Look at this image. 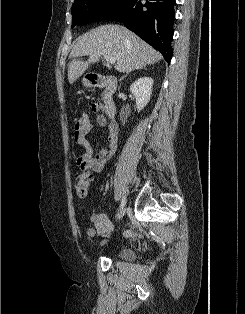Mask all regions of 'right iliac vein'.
Here are the masks:
<instances>
[{"label":"right iliac vein","instance_id":"63e3f726","mask_svg":"<svg viewBox=\"0 0 245 314\" xmlns=\"http://www.w3.org/2000/svg\"><path fill=\"white\" fill-rule=\"evenodd\" d=\"M125 212V207H123V209H121L118 213V219L120 220L122 218V216L124 215Z\"/></svg>","mask_w":245,"mask_h":314}]
</instances>
